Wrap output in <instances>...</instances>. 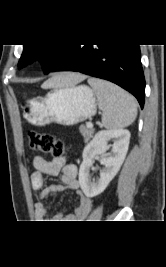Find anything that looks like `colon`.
Wrapping results in <instances>:
<instances>
[{"label":"colon","mask_w":166,"mask_h":267,"mask_svg":"<svg viewBox=\"0 0 166 267\" xmlns=\"http://www.w3.org/2000/svg\"><path fill=\"white\" fill-rule=\"evenodd\" d=\"M27 136L32 150L49 153L54 157H62L66 154L65 144L51 134L30 130L27 132Z\"/></svg>","instance_id":"1"}]
</instances>
